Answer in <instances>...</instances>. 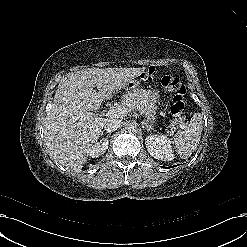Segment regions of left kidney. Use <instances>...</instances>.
<instances>
[{
	"instance_id": "obj_1",
	"label": "left kidney",
	"mask_w": 247,
	"mask_h": 247,
	"mask_svg": "<svg viewBox=\"0 0 247 247\" xmlns=\"http://www.w3.org/2000/svg\"><path fill=\"white\" fill-rule=\"evenodd\" d=\"M145 144L149 154L161 161H171L174 159L170 139L165 135H149L145 139Z\"/></svg>"
}]
</instances>
